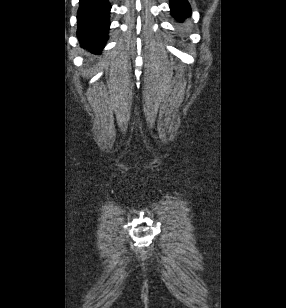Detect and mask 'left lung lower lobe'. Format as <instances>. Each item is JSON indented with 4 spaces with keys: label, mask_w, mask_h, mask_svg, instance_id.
Listing matches in <instances>:
<instances>
[{
    "label": "left lung lower lobe",
    "mask_w": 286,
    "mask_h": 308,
    "mask_svg": "<svg viewBox=\"0 0 286 308\" xmlns=\"http://www.w3.org/2000/svg\"><path fill=\"white\" fill-rule=\"evenodd\" d=\"M171 14L179 21L187 18L191 14L190 5L187 0H170Z\"/></svg>",
    "instance_id": "left-lung-lower-lobe-1"
}]
</instances>
